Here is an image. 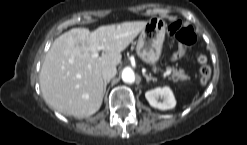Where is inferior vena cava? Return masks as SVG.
<instances>
[{"label": "inferior vena cava", "mask_w": 247, "mask_h": 145, "mask_svg": "<svg viewBox=\"0 0 247 145\" xmlns=\"http://www.w3.org/2000/svg\"><path fill=\"white\" fill-rule=\"evenodd\" d=\"M117 73L116 67L108 65L102 69V78L104 81H110Z\"/></svg>", "instance_id": "obj_1"}]
</instances>
